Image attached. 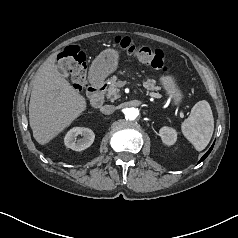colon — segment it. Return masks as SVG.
Here are the masks:
<instances>
[{
  "mask_svg": "<svg viewBox=\"0 0 238 238\" xmlns=\"http://www.w3.org/2000/svg\"><path fill=\"white\" fill-rule=\"evenodd\" d=\"M114 43L140 62L162 72L168 71V64L162 50L148 45L136 46L130 38L122 36L115 37ZM56 61L70 72L75 89L82 90L85 88L86 58L80 48L73 45L66 47L57 55Z\"/></svg>",
  "mask_w": 238,
  "mask_h": 238,
  "instance_id": "1",
  "label": "colon"
}]
</instances>
